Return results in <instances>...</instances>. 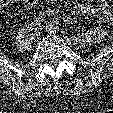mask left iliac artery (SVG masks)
I'll list each match as a JSON object with an SVG mask.
<instances>
[{
  "mask_svg": "<svg viewBox=\"0 0 113 113\" xmlns=\"http://www.w3.org/2000/svg\"><path fill=\"white\" fill-rule=\"evenodd\" d=\"M71 20L72 19L70 18V16L69 17L66 16V18H64V21L67 22V23H69V24L71 23ZM57 28L59 29V27H56V29Z\"/></svg>",
  "mask_w": 113,
  "mask_h": 113,
  "instance_id": "left-iliac-artery-1",
  "label": "left iliac artery"
}]
</instances>
